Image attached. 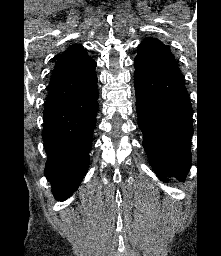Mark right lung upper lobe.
<instances>
[{
  "instance_id": "obj_1",
  "label": "right lung upper lobe",
  "mask_w": 221,
  "mask_h": 256,
  "mask_svg": "<svg viewBox=\"0 0 221 256\" xmlns=\"http://www.w3.org/2000/svg\"><path fill=\"white\" fill-rule=\"evenodd\" d=\"M96 63L78 44L60 55L50 82L46 106L62 104L97 88Z\"/></svg>"
}]
</instances>
